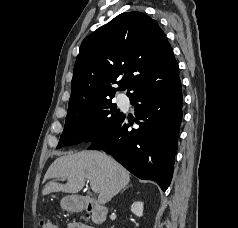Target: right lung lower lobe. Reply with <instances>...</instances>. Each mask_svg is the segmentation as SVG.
Returning <instances> with one entry per match:
<instances>
[{"mask_svg": "<svg viewBox=\"0 0 238 228\" xmlns=\"http://www.w3.org/2000/svg\"><path fill=\"white\" fill-rule=\"evenodd\" d=\"M130 101L136 107L138 129L123 116L117 124L94 139L88 149H103L140 179L155 181L163 191L170 185L177 138L182 120L179 75L171 81L142 90Z\"/></svg>", "mask_w": 238, "mask_h": 228, "instance_id": "1", "label": "right lung lower lobe"}]
</instances>
